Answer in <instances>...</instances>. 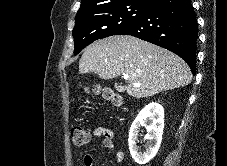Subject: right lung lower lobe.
Returning <instances> with one entry per match:
<instances>
[{"mask_svg": "<svg viewBox=\"0 0 227 166\" xmlns=\"http://www.w3.org/2000/svg\"><path fill=\"white\" fill-rule=\"evenodd\" d=\"M117 35H131L166 48L196 65L198 25L190 0H156L138 21Z\"/></svg>", "mask_w": 227, "mask_h": 166, "instance_id": "1", "label": "right lung lower lobe"}]
</instances>
